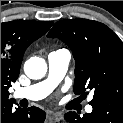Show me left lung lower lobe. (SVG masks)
Returning a JSON list of instances; mask_svg holds the SVG:
<instances>
[{
  "label": "left lung lower lobe",
  "mask_w": 123,
  "mask_h": 123,
  "mask_svg": "<svg viewBox=\"0 0 123 123\" xmlns=\"http://www.w3.org/2000/svg\"><path fill=\"white\" fill-rule=\"evenodd\" d=\"M92 107L93 111L83 117L75 112H68L64 118L70 123H123V105L106 101Z\"/></svg>",
  "instance_id": "0a47b994"
}]
</instances>
